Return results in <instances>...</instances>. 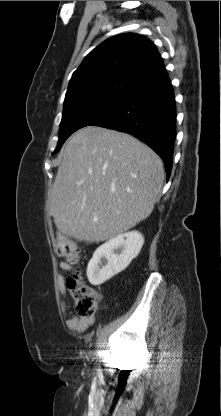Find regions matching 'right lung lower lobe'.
<instances>
[{"instance_id":"obj_1","label":"right lung lower lobe","mask_w":221,"mask_h":416,"mask_svg":"<svg viewBox=\"0 0 221 416\" xmlns=\"http://www.w3.org/2000/svg\"><path fill=\"white\" fill-rule=\"evenodd\" d=\"M94 126L126 132L144 141L163 159L168 179L176 130L175 97L168 76L129 93Z\"/></svg>"}]
</instances>
